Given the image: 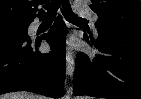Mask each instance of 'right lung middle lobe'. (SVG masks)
<instances>
[{"label": "right lung middle lobe", "mask_w": 141, "mask_h": 99, "mask_svg": "<svg viewBox=\"0 0 141 99\" xmlns=\"http://www.w3.org/2000/svg\"><path fill=\"white\" fill-rule=\"evenodd\" d=\"M28 21H3L0 22V32H26Z\"/></svg>", "instance_id": "obj_1"}]
</instances>
